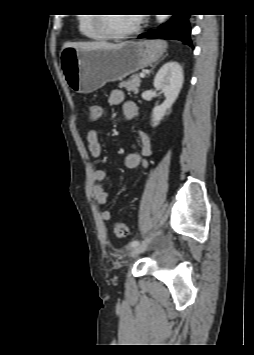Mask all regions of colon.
<instances>
[{"mask_svg":"<svg viewBox=\"0 0 254 355\" xmlns=\"http://www.w3.org/2000/svg\"><path fill=\"white\" fill-rule=\"evenodd\" d=\"M88 119L90 122L97 121L102 114V108L98 104H90L87 106ZM114 233L117 237H126L129 233L128 226L122 222H116L114 224Z\"/></svg>","mask_w":254,"mask_h":355,"instance_id":"1","label":"colon"}]
</instances>
